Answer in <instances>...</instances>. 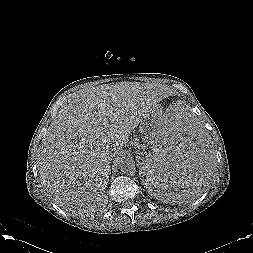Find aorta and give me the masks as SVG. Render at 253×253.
I'll return each instance as SVG.
<instances>
[{"mask_svg": "<svg viewBox=\"0 0 253 253\" xmlns=\"http://www.w3.org/2000/svg\"><path fill=\"white\" fill-rule=\"evenodd\" d=\"M121 172L128 173L134 170L135 161L131 156H122L117 161Z\"/></svg>", "mask_w": 253, "mask_h": 253, "instance_id": "1", "label": "aorta"}]
</instances>
